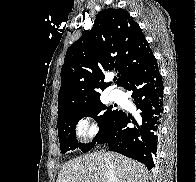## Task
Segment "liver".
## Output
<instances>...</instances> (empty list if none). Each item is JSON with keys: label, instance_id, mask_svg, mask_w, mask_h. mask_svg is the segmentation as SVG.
Wrapping results in <instances>:
<instances>
[{"label": "liver", "instance_id": "liver-1", "mask_svg": "<svg viewBox=\"0 0 196 182\" xmlns=\"http://www.w3.org/2000/svg\"><path fill=\"white\" fill-rule=\"evenodd\" d=\"M111 164L117 182H148L144 165L114 152H92L78 157L60 171L56 182H107L106 164Z\"/></svg>", "mask_w": 196, "mask_h": 182}]
</instances>
